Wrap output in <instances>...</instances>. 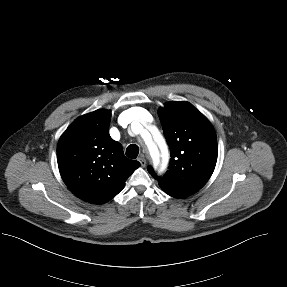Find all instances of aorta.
Listing matches in <instances>:
<instances>
[{
	"label": "aorta",
	"mask_w": 287,
	"mask_h": 287,
	"mask_svg": "<svg viewBox=\"0 0 287 287\" xmlns=\"http://www.w3.org/2000/svg\"><path fill=\"white\" fill-rule=\"evenodd\" d=\"M149 152L151 154L154 167L155 168L158 167V165L160 164V159H161V155H160L158 147L152 143L151 145H149Z\"/></svg>",
	"instance_id": "obj_1"
}]
</instances>
